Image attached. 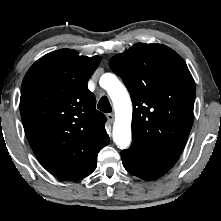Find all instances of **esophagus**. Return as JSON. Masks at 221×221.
Masks as SVG:
<instances>
[{"label": "esophagus", "instance_id": "esophagus-1", "mask_svg": "<svg viewBox=\"0 0 221 221\" xmlns=\"http://www.w3.org/2000/svg\"><path fill=\"white\" fill-rule=\"evenodd\" d=\"M107 119L110 123H112L114 121V114L112 113L107 114Z\"/></svg>", "mask_w": 221, "mask_h": 221}]
</instances>
